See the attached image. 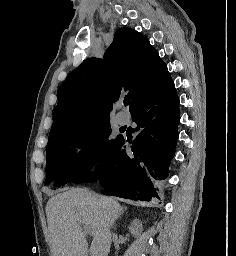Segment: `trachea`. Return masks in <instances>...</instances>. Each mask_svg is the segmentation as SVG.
I'll return each instance as SVG.
<instances>
[{"label": "trachea", "mask_w": 236, "mask_h": 256, "mask_svg": "<svg viewBox=\"0 0 236 256\" xmlns=\"http://www.w3.org/2000/svg\"><path fill=\"white\" fill-rule=\"evenodd\" d=\"M129 101H130L129 98H125L124 101H123L124 106L129 105Z\"/></svg>", "instance_id": "obj_1"}]
</instances>
